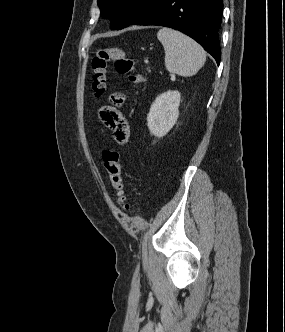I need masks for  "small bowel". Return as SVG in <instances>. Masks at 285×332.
Masks as SVG:
<instances>
[{"mask_svg":"<svg viewBox=\"0 0 285 332\" xmlns=\"http://www.w3.org/2000/svg\"><path fill=\"white\" fill-rule=\"evenodd\" d=\"M111 99L113 105L102 107L99 111V117L101 122L112 131L116 143L124 145L130 136L128 122L120 110L125 97L123 94L116 93L112 95Z\"/></svg>","mask_w":285,"mask_h":332,"instance_id":"1","label":"small bowel"}]
</instances>
